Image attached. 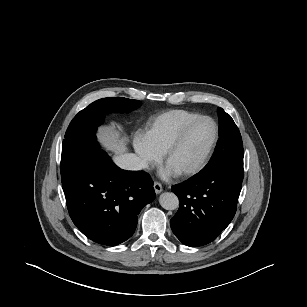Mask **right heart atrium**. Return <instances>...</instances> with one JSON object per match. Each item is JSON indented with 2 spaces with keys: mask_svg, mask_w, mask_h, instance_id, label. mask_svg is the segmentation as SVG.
<instances>
[{
  "mask_svg": "<svg viewBox=\"0 0 307 307\" xmlns=\"http://www.w3.org/2000/svg\"><path fill=\"white\" fill-rule=\"evenodd\" d=\"M134 149L139 157L140 165L144 170L155 167L161 161V154L156 152L148 143L145 136L138 135L135 137Z\"/></svg>",
  "mask_w": 307,
  "mask_h": 307,
  "instance_id": "obj_1",
  "label": "right heart atrium"
}]
</instances>
